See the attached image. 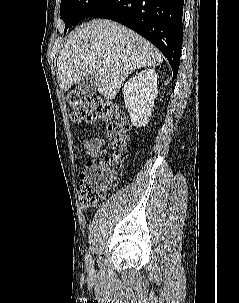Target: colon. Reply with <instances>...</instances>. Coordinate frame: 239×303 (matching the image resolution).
Segmentation results:
<instances>
[{
  "instance_id": "colon-1",
  "label": "colon",
  "mask_w": 239,
  "mask_h": 303,
  "mask_svg": "<svg viewBox=\"0 0 239 303\" xmlns=\"http://www.w3.org/2000/svg\"><path fill=\"white\" fill-rule=\"evenodd\" d=\"M71 118L88 124L103 123L113 153L88 161L79 177L80 202L86 206L103 203L117 183V170L122 166L130 134L126 115L115 105L99 98L91 99L78 92L68 95Z\"/></svg>"
}]
</instances>
